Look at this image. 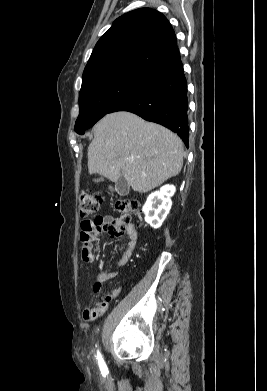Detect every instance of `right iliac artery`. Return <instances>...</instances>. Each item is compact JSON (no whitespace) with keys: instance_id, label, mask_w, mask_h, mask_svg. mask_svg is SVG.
Returning <instances> with one entry per match:
<instances>
[{"instance_id":"right-iliac-artery-1","label":"right iliac artery","mask_w":267,"mask_h":391,"mask_svg":"<svg viewBox=\"0 0 267 391\" xmlns=\"http://www.w3.org/2000/svg\"><path fill=\"white\" fill-rule=\"evenodd\" d=\"M97 359H98V363H99L100 369H101L102 371H105V370H106V365H105V363H104V361H103V359H102V356H101V354L99 353V351H98V353H97Z\"/></svg>"}]
</instances>
